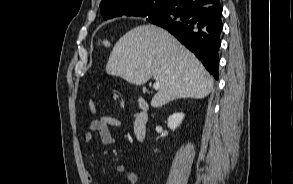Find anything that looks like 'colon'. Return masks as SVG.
I'll return each instance as SVG.
<instances>
[{"label": "colon", "mask_w": 293, "mask_h": 184, "mask_svg": "<svg viewBox=\"0 0 293 184\" xmlns=\"http://www.w3.org/2000/svg\"><path fill=\"white\" fill-rule=\"evenodd\" d=\"M98 44L101 46V47H108L109 46V41L106 40V39H99L98 40ZM89 110L91 113H95L96 112V106H95V103L93 100H90L89 102Z\"/></svg>", "instance_id": "obj_1"}]
</instances>
